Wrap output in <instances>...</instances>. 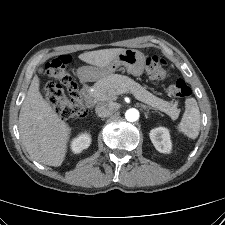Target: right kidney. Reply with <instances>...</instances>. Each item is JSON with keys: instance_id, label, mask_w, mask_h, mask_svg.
<instances>
[{"instance_id": "1", "label": "right kidney", "mask_w": 225, "mask_h": 225, "mask_svg": "<svg viewBox=\"0 0 225 225\" xmlns=\"http://www.w3.org/2000/svg\"><path fill=\"white\" fill-rule=\"evenodd\" d=\"M91 143V137L87 133L79 135L77 138L73 139L71 143V149L75 154L80 153L82 150L89 147Z\"/></svg>"}]
</instances>
